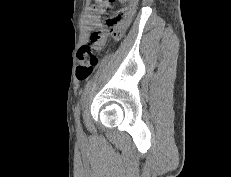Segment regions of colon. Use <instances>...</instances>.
Masks as SVG:
<instances>
[{"label": "colon", "instance_id": "obj_1", "mask_svg": "<svg viewBox=\"0 0 231 177\" xmlns=\"http://www.w3.org/2000/svg\"><path fill=\"white\" fill-rule=\"evenodd\" d=\"M127 3V8L118 16L106 20L107 26H112L129 17L135 10L137 0H123ZM103 5H110L113 0H101ZM104 33L95 31L91 34V44L83 45L77 51L76 76L78 80L84 81L90 77L98 64L96 50L93 49V43L103 40Z\"/></svg>", "mask_w": 231, "mask_h": 177}]
</instances>
